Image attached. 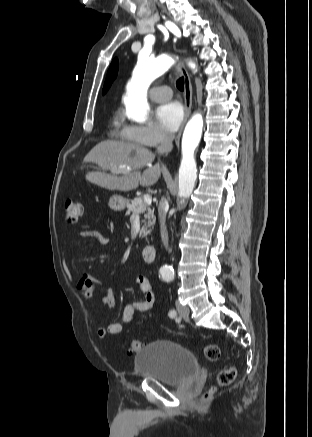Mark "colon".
<instances>
[{
  "instance_id": "colon-1",
  "label": "colon",
  "mask_w": 312,
  "mask_h": 437,
  "mask_svg": "<svg viewBox=\"0 0 312 437\" xmlns=\"http://www.w3.org/2000/svg\"><path fill=\"white\" fill-rule=\"evenodd\" d=\"M65 221L67 224H75L84 213V205L82 202L68 198L64 202ZM139 340H132L129 346V353H137L141 349ZM204 355L209 361H217L220 358L221 351L218 345L208 344L204 348ZM236 376V369L233 366H227L221 369L217 375L216 385L212 388V392L219 387H224L233 382Z\"/></svg>"
}]
</instances>
